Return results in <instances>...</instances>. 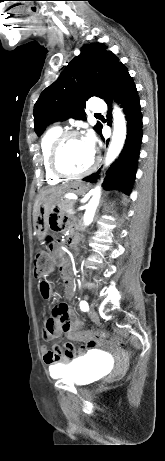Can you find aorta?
I'll use <instances>...</instances> for the list:
<instances>
[{
	"mask_svg": "<svg viewBox=\"0 0 165 461\" xmlns=\"http://www.w3.org/2000/svg\"><path fill=\"white\" fill-rule=\"evenodd\" d=\"M114 129L111 143L106 155L105 166H109L120 154L126 139V121L123 112L118 106H114ZM101 194L100 186L92 190V198L86 205L84 214V224L89 225L94 217L95 211L99 204Z\"/></svg>",
	"mask_w": 165,
	"mask_h": 461,
	"instance_id": "1",
	"label": "aorta"
}]
</instances>
